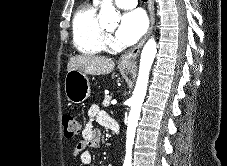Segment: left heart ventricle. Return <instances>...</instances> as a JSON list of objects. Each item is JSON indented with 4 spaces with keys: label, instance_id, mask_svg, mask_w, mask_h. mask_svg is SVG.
Segmentation results:
<instances>
[{
    "label": "left heart ventricle",
    "instance_id": "b2bd125f",
    "mask_svg": "<svg viewBox=\"0 0 227 166\" xmlns=\"http://www.w3.org/2000/svg\"><path fill=\"white\" fill-rule=\"evenodd\" d=\"M107 31H112L113 29L111 27H106L105 28Z\"/></svg>",
    "mask_w": 227,
    "mask_h": 166
}]
</instances>
